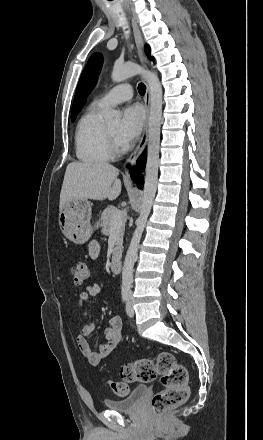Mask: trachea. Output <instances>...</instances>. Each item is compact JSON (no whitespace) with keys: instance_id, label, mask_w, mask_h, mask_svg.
I'll return each mask as SVG.
<instances>
[{"instance_id":"1","label":"trachea","mask_w":263,"mask_h":440,"mask_svg":"<svg viewBox=\"0 0 263 440\" xmlns=\"http://www.w3.org/2000/svg\"><path fill=\"white\" fill-rule=\"evenodd\" d=\"M138 92L140 95H144L146 92V86L143 83L138 85Z\"/></svg>"}]
</instances>
